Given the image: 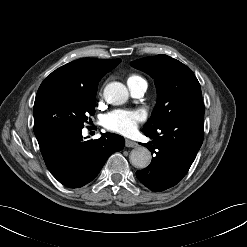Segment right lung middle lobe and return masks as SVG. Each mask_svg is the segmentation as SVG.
I'll list each match as a JSON object with an SVG mask.
<instances>
[{"label":"right lung middle lobe","mask_w":247,"mask_h":247,"mask_svg":"<svg viewBox=\"0 0 247 247\" xmlns=\"http://www.w3.org/2000/svg\"><path fill=\"white\" fill-rule=\"evenodd\" d=\"M96 93L49 90L36 95L34 128L66 127L82 129L95 113Z\"/></svg>","instance_id":"obj_1"}]
</instances>
